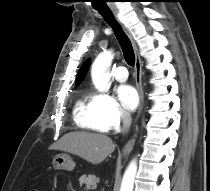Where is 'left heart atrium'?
Instances as JSON below:
<instances>
[{
	"label": "left heart atrium",
	"instance_id": "1",
	"mask_svg": "<svg viewBox=\"0 0 210 191\" xmlns=\"http://www.w3.org/2000/svg\"><path fill=\"white\" fill-rule=\"evenodd\" d=\"M118 97L123 107L129 111L136 109L139 103V95L136 89L130 85H122L118 88Z\"/></svg>",
	"mask_w": 210,
	"mask_h": 191
}]
</instances>
